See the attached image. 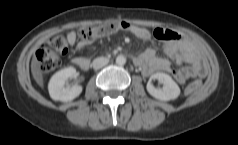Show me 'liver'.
I'll return each mask as SVG.
<instances>
[{
    "label": "liver",
    "instance_id": "1",
    "mask_svg": "<svg viewBox=\"0 0 238 145\" xmlns=\"http://www.w3.org/2000/svg\"><path fill=\"white\" fill-rule=\"evenodd\" d=\"M31 72H32L33 78L36 81V83L40 87H43V85H44L43 75H42V71L40 68V63H39L38 59L36 58V56H33L32 61H31Z\"/></svg>",
    "mask_w": 238,
    "mask_h": 145
}]
</instances>
